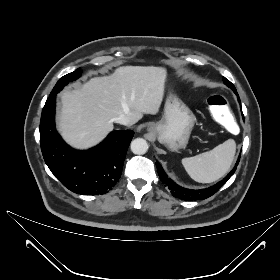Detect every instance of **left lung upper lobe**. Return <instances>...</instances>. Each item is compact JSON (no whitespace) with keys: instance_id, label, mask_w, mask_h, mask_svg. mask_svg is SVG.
<instances>
[{"instance_id":"left-lung-upper-lobe-1","label":"left lung upper lobe","mask_w":280,"mask_h":280,"mask_svg":"<svg viewBox=\"0 0 280 280\" xmlns=\"http://www.w3.org/2000/svg\"><path fill=\"white\" fill-rule=\"evenodd\" d=\"M223 82H224L228 87H230V88L234 91V93H235L236 95H238V94H237V91H236V89H235V87H234V85H233L229 80H227L226 78L223 77Z\"/></svg>"}]
</instances>
